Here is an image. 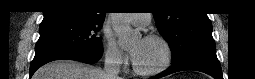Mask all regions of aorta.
I'll return each mask as SVG.
<instances>
[{"label": "aorta", "mask_w": 255, "mask_h": 79, "mask_svg": "<svg viewBox=\"0 0 255 79\" xmlns=\"http://www.w3.org/2000/svg\"><path fill=\"white\" fill-rule=\"evenodd\" d=\"M122 18V13H115L113 27L118 36L120 45L126 46L138 40L140 33L133 30Z\"/></svg>", "instance_id": "762f6f07"}]
</instances>
